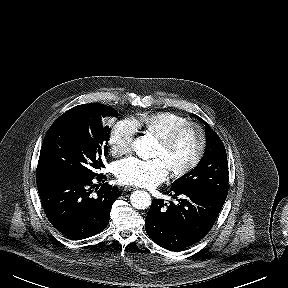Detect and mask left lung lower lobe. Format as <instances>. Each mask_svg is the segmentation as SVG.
<instances>
[{
  "label": "left lung lower lobe",
  "instance_id": "1",
  "mask_svg": "<svg viewBox=\"0 0 288 288\" xmlns=\"http://www.w3.org/2000/svg\"><path fill=\"white\" fill-rule=\"evenodd\" d=\"M176 202L153 199L147 213L148 236L168 250H182L204 238L214 225L225 201L206 193L170 189Z\"/></svg>",
  "mask_w": 288,
  "mask_h": 288
}]
</instances>
